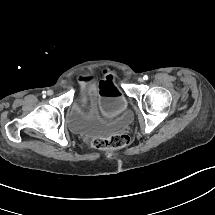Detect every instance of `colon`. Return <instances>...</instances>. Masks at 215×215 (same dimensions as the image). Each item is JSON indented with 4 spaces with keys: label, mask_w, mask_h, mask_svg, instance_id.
Returning <instances> with one entry per match:
<instances>
[{
    "label": "colon",
    "mask_w": 215,
    "mask_h": 215,
    "mask_svg": "<svg viewBox=\"0 0 215 215\" xmlns=\"http://www.w3.org/2000/svg\"><path fill=\"white\" fill-rule=\"evenodd\" d=\"M129 144V139L125 134H113L92 139V146L99 150H111L125 147Z\"/></svg>",
    "instance_id": "5ec220e1"
}]
</instances>
